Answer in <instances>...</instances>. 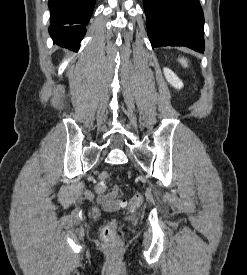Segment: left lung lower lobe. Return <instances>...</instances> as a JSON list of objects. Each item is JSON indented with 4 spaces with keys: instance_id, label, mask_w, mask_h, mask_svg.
Instances as JSON below:
<instances>
[{
    "instance_id": "0a47b994",
    "label": "left lung lower lobe",
    "mask_w": 247,
    "mask_h": 275,
    "mask_svg": "<svg viewBox=\"0 0 247 275\" xmlns=\"http://www.w3.org/2000/svg\"><path fill=\"white\" fill-rule=\"evenodd\" d=\"M152 48L186 46L204 51V16L199 0H144Z\"/></svg>"
}]
</instances>
